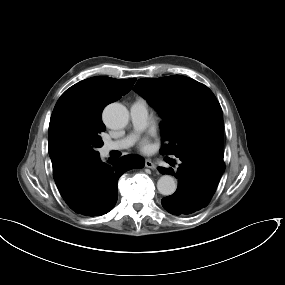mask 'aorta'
I'll return each instance as SVG.
<instances>
[{
	"label": "aorta",
	"instance_id": "aorta-1",
	"mask_svg": "<svg viewBox=\"0 0 285 285\" xmlns=\"http://www.w3.org/2000/svg\"><path fill=\"white\" fill-rule=\"evenodd\" d=\"M128 110L120 103L108 105L103 112V119L107 126L113 129L124 127L128 123ZM177 188L175 179L170 175H163L157 182V189L160 194L172 195Z\"/></svg>",
	"mask_w": 285,
	"mask_h": 285
}]
</instances>
